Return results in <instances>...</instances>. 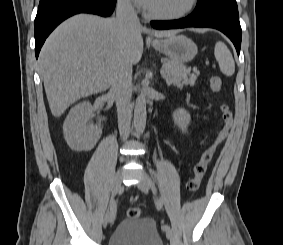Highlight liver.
<instances>
[{
  "instance_id": "6515ba94",
  "label": "liver",
  "mask_w": 283,
  "mask_h": 245,
  "mask_svg": "<svg viewBox=\"0 0 283 245\" xmlns=\"http://www.w3.org/2000/svg\"><path fill=\"white\" fill-rule=\"evenodd\" d=\"M142 32L169 37L174 31L122 26L115 17L75 15L47 38L39 56L49 107L54 117L80 98L107 90L117 66L137 64L143 54Z\"/></svg>"
}]
</instances>
